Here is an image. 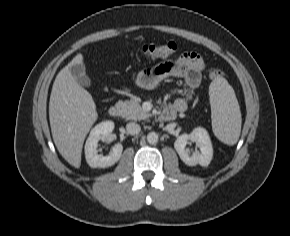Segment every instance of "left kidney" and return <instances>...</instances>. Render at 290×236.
Listing matches in <instances>:
<instances>
[{
  "label": "left kidney",
  "mask_w": 290,
  "mask_h": 236,
  "mask_svg": "<svg viewBox=\"0 0 290 236\" xmlns=\"http://www.w3.org/2000/svg\"><path fill=\"white\" fill-rule=\"evenodd\" d=\"M189 141L195 142L200 148V152H194L192 155L186 150V144ZM174 148L181 160L189 165L208 166L213 156V147L211 139L206 129L202 127L195 128L190 134L180 135L175 143Z\"/></svg>",
  "instance_id": "1"
}]
</instances>
